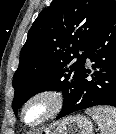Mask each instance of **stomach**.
<instances>
[{
	"instance_id": "0dacf381",
	"label": "stomach",
	"mask_w": 116,
	"mask_h": 134,
	"mask_svg": "<svg viewBox=\"0 0 116 134\" xmlns=\"http://www.w3.org/2000/svg\"><path fill=\"white\" fill-rule=\"evenodd\" d=\"M92 122L81 115L68 116L44 128L39 134H92Z\"/></svg>"
}]
</instances>
